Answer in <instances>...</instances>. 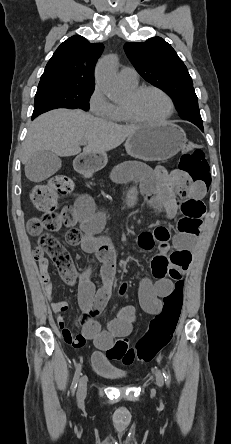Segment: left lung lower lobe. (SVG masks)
<instances>
[{
  "label": "left lung lower lobe",
  "mask_w": 231,
  "mask_h": 444,
  "mask_svg": "<svg viewBox=\"0 0 231 444\" xmlns=\"http://www.w3.org/2000/svg\"><path fill=\"white\" fill-rule=\"evenodd\" d=\"M195 125L198 126V127L200 128L201 131L204 130V129H203V124H202V125H200V124H195Z\"/></svg>",
  "instance_id": "1"
}]
</instances>
